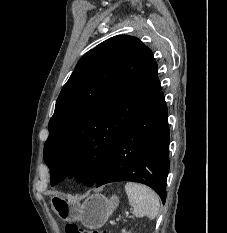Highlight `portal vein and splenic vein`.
I'll use <instances>...</instances> for the list:
<instances>
[{
	"mask_svg": "<svg viewBox=\"0 0 227 233\" xmlns=\"http://www.w3.org/2000/svg\"><path fill=\"white\" fill-rule=\"evenodd\" d=\"M129 215V213L128 212H126V216H128Z\"/></svg>",
	"mask_w": 227,
	"mask_h": 233,
	"instance_id": "18ae733b",
	"label": "portal vein and splenic vein"
}]
</instances>
